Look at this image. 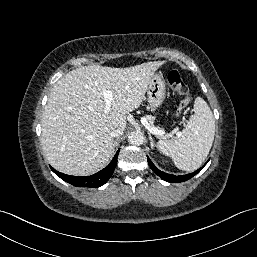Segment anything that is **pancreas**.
<instances>
[{"mask_svg":"<svg viewBox=\"0 0 257 257\" xmlns=\"http://www.w3.org/2000/svg\"><path fill=\"white\" fill-rule=\"evenodd\" d=\"M148 122H149V124L152 126V127H155L154 126V119L153 118H151V119H148ZM155 128H157V129H159L158 127H155Z\"/></svg>","mask_w":257,"mask_h":257,"instance_id":"1","label":"pancreas"}]
</instances>
